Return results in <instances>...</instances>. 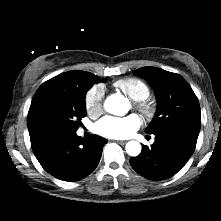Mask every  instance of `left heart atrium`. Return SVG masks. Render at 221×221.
Segmentation results:
<instances>
[{"instance_id":"39dd6f15","label":"left heart atrium","mask_w":221,"mask_h":221,"mask_svg":"<svg viewBox=\"0 0 221 221\" xmlns=\"http://www.w3.org/2000/svg\"><path fill=\"white\" fill-rule=\"evenodd\" d=\"M139 127L140 119L135 114L125 117L105 116L95 126L97 133L113 139L128 138Z\"/></svg>"}]
</instances>
